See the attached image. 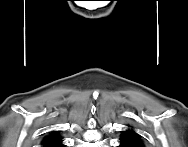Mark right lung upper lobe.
Wrapping results in <instances>:
<instances>
[{
  "label": "right lung upper lobe",
  "instance_id": "1",
  "mask_svg": "<svg viewBox=\"0 0 188 147\" xmlns=\"http://www.w3.org/2000/svg\"><path fill=\"white\" fill-rule=\"evenodd\" d=\"M43 147H61V136L57 132L51 133L49 136L45 137L42 141Z\"/></svg>",
  "mask_w": 188,
  "mask_h": 147
}]
</instances>
